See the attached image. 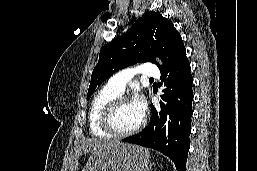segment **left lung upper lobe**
<instances>
[{
	"label": "left lung upper lobe",
	"mask_w": 257,
	"mask_h": 171,
	"mask_svg": "<svg viewBox=\"0 0 257 171\" xmlns=\"http://www.w3.org/2000/svg\"><path fill=\"white\" fill-rule=\"evenodd\" d=\"M183 47L180 34L169 20L158 13L146 12L125 35L101 49L98 63L91 75L87 98L115 71L137 62L156 63L154 54L165 64Z\"/></svg>",
	"instance_id": "obj_1"
}]
</instances>
